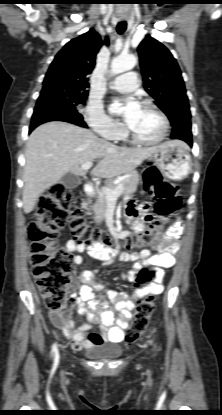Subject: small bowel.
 Here are the masks:
<instances>
[{"mask_svg":"<svg viewBox=\"0 0 222 415\" xmlns=\"http://www.w3.org/2000/svg\"><path fill=\"white\" fill-rule=\"evenodd\" d=\"M126 215L133 229L136 231L144 229L143 224L135 219L137 211L134 206L126 209ZM183 229V222L178 220L168 230L163 240L152 249L121 253L118 256L120 261L133 262V267L127 274L129 281H134L144 267L154 268L152 282L135 288L132 293L107 290L103 284L96 282L92 271H81L79 275L81 284L71 293L67 305L62 310L49 312L51 323L62 331L73 350L123 342L124 331L128 327L136 302L145 296L159 295L163 292L164 270L176 264L174 254L180 248L178 238ZM66 248L76 253L91 252L90 249L73 240L66 243ZM153 250L157 253H152ZM112 257L114 255H109V258ZM74 261L79 265L82 263V257L76 255ZM74 308L80 315L86 316L87 322L78 324L71 318L70 314ZM93 324L99 326L100 332L93 330Z\"/></svg>","mask_w":222,"mask_h":415,"instance_id":"small-bowel-1","label":"small bowel"}]
</instances>
